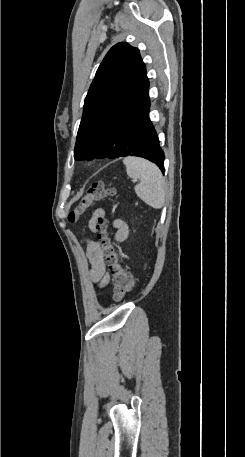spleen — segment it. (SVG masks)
I'll list each match as a JSON object with an SVG mask.
<instances>
[{"label":"spleen","mask_w":245,"mask_h":457,"mask_svg":"<svg viewBox=\"0 0 245 457\" xmlns=\"http://www.w3.org/2000/svg\"><path fill=\"white\" fill-rule=\"evenodd\" d=\"M123 164L126 166L128 176L140 180L135 186L137 196L152 208H162L166 186L160 168L154 162L140 156H125Z\"/></svg>","instance_id":"obj_1"}]
</instances>
